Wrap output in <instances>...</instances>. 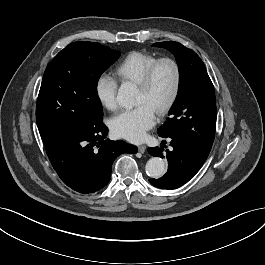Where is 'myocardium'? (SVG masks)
Returning <instances> with one entry per match:
<instances>
[{
	"label": "myocardium",
	"instance_id": "myocardium-1",
	"mask_svg": "<svg viewBox=\"0 0 265 265\" xmlns=\"http://www.w3.org/2000/svg\"><path fill=\"white\" fill-rule=\"evenodd\" d=\"M163 63H169L175 74L174 85L172 92L168 100L156 111L158 116H164L173 108L175 105L181 90L182 84V71L179 63L171 57H163L155 60L143 73L140 81L137 83V86L142 91H148L151 87L154 73L156 69Z\"/></svg>",
	"mask_w": 265,
	"mask_h": 265
}]
</instances>
